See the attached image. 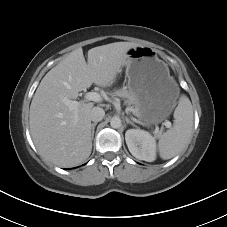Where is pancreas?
I'll use <instances>...</instances> for the list:
<instances>
[{"instance_id": "cf45deb5", "label": "pancreas", "mask_w": 227, "mask_h": 227, "mask_svg": "<svg viewBox=\"0 0 227 227\" xmlns=\"http://www.w3.org/2000/svg\"><path fill=\"white\" fill-rule=\"evenodd\" d=\"M113 97H121L125 98V102L130 106V110L136 115V108H135V99L133 95L126 89H119L116 90L114 93L111 94ZM132 105V106H131Z\"/></svg>"}]
</instances>
